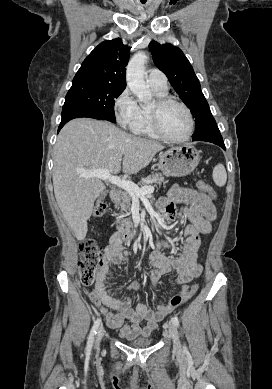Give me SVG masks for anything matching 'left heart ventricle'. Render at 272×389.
Returning <instances> with one entry per match:
<instances>
[{"label": "left heart ventricle", "instance_id": "left-heart-ventricle-1", "mask_svg": "<svg viewBox=\"0 0 272 389\" xmlns=\"http://www.w3.org/2000/svg\"><path fill=\"white\" fill-rule=\"evenodd\" d=\"M152 107H154V104ZM160 121L163 131L174 138L182 137L187 133L189 128V120L186 112L183 108L175 104L168 105L161 111Z\"/></svg>", "mask_w": 272, "mask_h": 389}]
</instances>
